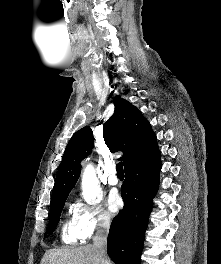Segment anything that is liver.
<instances>
[{
	"label": "liver",
	"mask_w": 221,
	"mask_h": 264,
	"mask_svg": "<svg viewBox=\"0 0 221 264\" xmlns=\"http://www.w3.org/2000/svg\"><path fill=\"white\" fill-rule=\"evenodd\" d=\"M40 264H99L93 245L75 249H50ZM112 264V263H110Z\"/></svg>",
	"instance_id": "1"
}]
</instances>
